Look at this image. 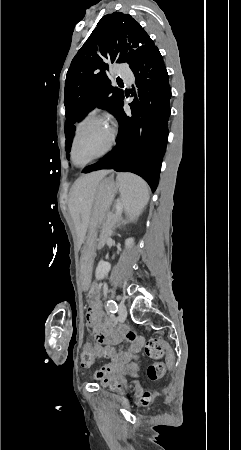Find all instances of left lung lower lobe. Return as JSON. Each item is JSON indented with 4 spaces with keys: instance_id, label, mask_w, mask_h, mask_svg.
Instances as JSON below:
<instances>
[{
    "instance_id": "obj_1",
    "label": "left lung lower lobe",
    "mask_w": 241,
    "mask_h": 450,
    "mask_svg": "<svg viewBox=\"0 0 241 450\" xmlns=\"http://www.w3.org/2000/svg\"><path fill=\"white\" fill-rule=\"evenodd\" d=\"M139 88V100L130 104L127 116L123 102L116 111L119 132L116 145L99 162L85 167L88 173L100 169L132 172L141 176L155 191L168 139L171 89L162 56L154 45L130 65Z\"/></svg>"
}]
</instances>
